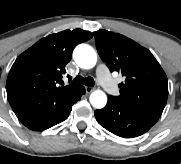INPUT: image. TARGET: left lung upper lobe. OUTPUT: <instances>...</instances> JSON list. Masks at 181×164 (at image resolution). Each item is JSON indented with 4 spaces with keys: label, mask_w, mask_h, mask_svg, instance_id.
Returning a JSON list of instances; mask_svg holds the SVG:
<instances>
[{
    "label": "left lung upper lobe",
    "mask_w": 181,
    "mask_h": 164,
    "mask_svg": "<svg viewBox=\"0 0 181 164\" xmlns=\"http://www.w3.org/2000/svg\"><path fill=\"white\" fill-rule=\"evenodd\" d=\"M94 36L98 53L110 71L125 77L116 98L160 117L167 102L168 81L152 53L121 34L99 30Z\"/></svg>",
    "instance_id": "1"
}]
</instances>
